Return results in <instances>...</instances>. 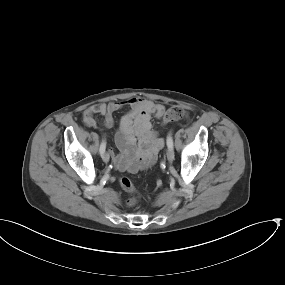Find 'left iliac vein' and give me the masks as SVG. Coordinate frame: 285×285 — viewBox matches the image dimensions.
<instances>
[{"label":"left iliac vein","instance_id":"1","mask_svg":"<svg viewBox=\"0 0 285 285\" xmlns=\"http://www.w3.org/2000/svg\"><path fill=\"white\" fill-rule=\"evenodd\" d=\"M174 150H173V148H168L167 149V152H166V157H167V160L169 161V162H172L173 160H174Z\"/></svg>","mask_w":285,"mask_h":285}]
</instances>
